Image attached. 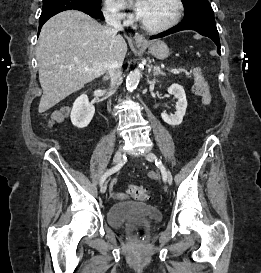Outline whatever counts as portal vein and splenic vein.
<instances>
[{"label": "portal vein and splenic vein", "instance_id": "1", "mask_svg": "<svg viewBox=\"0 0 261 273\" xmlns=\"http://www.w3.org/2000/svg\"><path fill=\"white\" fill-rule=\"evenodd\" d=\"M90 69L86 66L85 67V71H89ZM173 74H178V73H180V72H182V70H178V69H174V70H172L171 71Z\"/></svg>", "mask_w": 261, "mask_h": 273}]
</instances>
